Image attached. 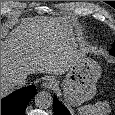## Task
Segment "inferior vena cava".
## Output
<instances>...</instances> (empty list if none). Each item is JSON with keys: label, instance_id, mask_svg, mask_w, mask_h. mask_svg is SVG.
Listing matches in <instances>:
<instances>
[{"label": "inferior vena cava", "instance_id": "602c4592", "mask_svg": "<svg viewBox=\"0 0 115 115\" xmlns=\"http://www.w3.org/2000/svg\"><path fill=\"white\" fill-rule=\"evenodd\" d=\"M26 79L27 75L26 74H19L15 79H14V84L18 87H22L26 84Z\"/></svg>", "mask_w": 115, "mask_h": 115}]
</instances>
